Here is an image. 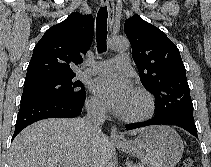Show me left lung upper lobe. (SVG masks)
<instances>
[{
	"label": "left lung upper lobe",
	"mask_w": 211,
	"mask_h": 167,
	"mask_svg": "<svg viewBox=\"0 0 211 167\" xmlns=\"http://www.w3.org/2000/svg\"><path fill=\"white\" fill-rule=\"evenodd\" d=\"M124 30L142 84L156 97L155 117L194 121L186 71L176 45L137 14L125 21Z\"/></svg>",
	"instance_id": "5c2ea615"
}]
</instances>
